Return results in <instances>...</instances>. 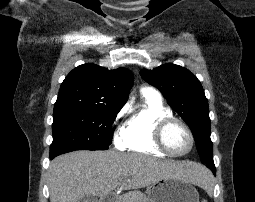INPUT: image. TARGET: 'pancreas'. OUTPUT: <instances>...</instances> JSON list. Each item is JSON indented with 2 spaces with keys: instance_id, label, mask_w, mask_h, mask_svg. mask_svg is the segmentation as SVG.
<instances>
[{
  "instance_id": "pancreas-1",
  "label": "pancreas",
  "mask_w": 255,
  "mask_h": 202,
  "mask_svg": "<svg viewBox=\"0 0 255 202\" xmlns=\"http://www.w3.org/2000/svg\"><path fill=\"white\" fill-rule=\"evenodd\" d=\"M118 202H149V199L141 191H130L120 196Z\"/></svg>"
}]
</instances>
